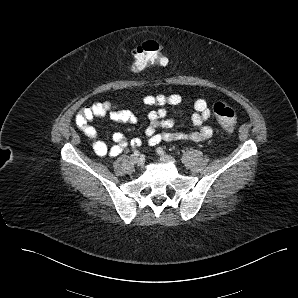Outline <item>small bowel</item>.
<instances>
[{"instance_id":"c3829d8e","label":"small bowel","mask_w":298,"mask_h":298,"mask_svg":"<svg viewBox=\"0 0 298 298\" xmlns=\"http://www.w3.org/2000/svg\"><path fill=\"white\" fill-rule=\"evenodd\" d=\"M142 102L146 106L157 107L149 112V125L145 129L150 145L174 141L200 142L209 139L213 134L212 127L206 124L211 116V108L205 99H197L193 103L194 112L191 114V119L195 129L190 132H172L169 130L174 126V118L168 116L166 106L182 104L183 98L180 94L148 95L142 99ZM101 117H108L111 121L128 124H135L137 117L133 112L121 110L108 101L83 106L76 114V125L91 140L92 148L98 156H119L128 147V141L121 132L113 133L112 139L115 144L112 146H108L105 142L99 140L97 130L91 122ZM159 129L165 131L159 132ZM130 144L136 147L140 146L142 141L140 138H133Z\"/></svg>"}]
</instances>
